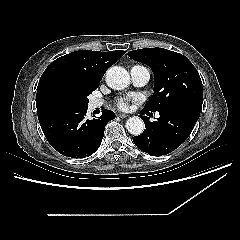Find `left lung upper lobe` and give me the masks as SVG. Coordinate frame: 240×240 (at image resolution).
<instances>
[{
	"instance_id": "left-lung-upper-lobe-1",
	"label": "left lung upper lobe",
	"mask_w": 240,
	"mask_h": 240,
	"mask_svg": "<svg viewBox=\"0 0 240 240\" xmlns=\"http://www.w3.org/2000/svg\"><path fill=\"white\" fill-rule=\"evenodd\" d=\"M128 55L147 64L154 73V93L144 111L159 112L183 101L203 99L200 76L184 55L164 48H143Z\"/></svg>"
}]
</instances>
